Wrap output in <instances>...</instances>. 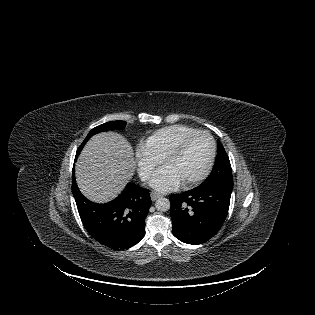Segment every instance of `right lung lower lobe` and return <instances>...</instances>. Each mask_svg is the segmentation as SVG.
Masks as SVG:
<instances>
[{"label": "right lung lower lobe", "instance_id": "1", "mask_svg": "<svg viewBox=\"0 0 315 315\" xmlns=\"http://www.w3.org/2000/svg\"><path fill=\"white\" fill-rule=\"evenodd\" d=\"M72 193L85 228L101 244L122 250L144 237L145 218L151 206L149 190L128 183L116 199L97 204L81 194L73 172Z\"/></svg>", "mask_w": 315, "mask_h": 315}]
</instances>
